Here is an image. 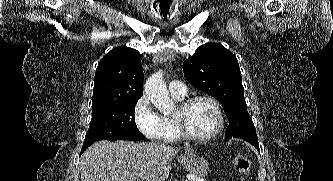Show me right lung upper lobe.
Listing matches in <instances>:
<instances>
[{"instance_id":"1","label":"right lung upper lobe","mask_w":333,"mask_h":181,"mask_svg":"<svg viewBox=\"0 0 333 181\" xmlns=\"http://www.w3.org/2000/svg\"><path fill=\"white\" fill-rule=\"evenodd\" d=\"M142 56L135 49L118 47L101 59L95 74L93 108L140 99L143 94Z\"/></svg>"}]
</instances>
